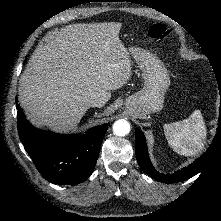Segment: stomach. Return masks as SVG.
Segmentation results:
<instances>
[{"label":"stomach","instance_id":"1","mask_svg":"<svg viewBox=\"0 0 221 221\" xmlns=\"http://www.w3.org/2000/svg\"><path fill=\"white\" fill-rule=\"evenodd\" d=\"M129 51L142 72L144 86L128 97L126 108L138 117L146 118L163 108L170 76L162 61L151 52L140 48H131Z\"/></svg>","mask_w":221,"mask_h":221}]
</instances>
